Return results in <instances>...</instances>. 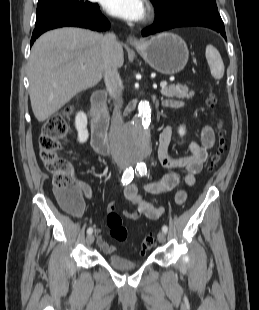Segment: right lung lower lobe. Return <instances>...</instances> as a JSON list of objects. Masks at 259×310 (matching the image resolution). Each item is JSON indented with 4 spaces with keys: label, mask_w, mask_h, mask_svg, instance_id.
Instances as JSON below:
<instances>
[{
    "label": "right lung lower lobe",
    "mask_w": 259,
    "mask_h": 310,
    "mask_svg": "<svg viewBox=\"0 0 259 310\" xmlns=\"http://www.w3.org/2000/svg\"><path fill=\"white\" fill-rule=\"evenodd\" d=\"M64 26L89 28L103 31L110 27L108 20L101 14L98 4H94L89 10L70 15H52L43 21L36 23L31 38V45L44 32Z\"/></svg>",
    "instance_id": "1"
}]
</instances>
